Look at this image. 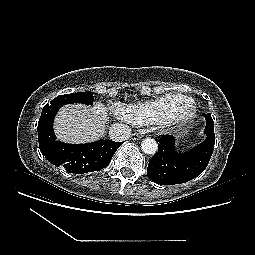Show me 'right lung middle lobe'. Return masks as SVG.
<instances>
[{"label": "right lung middle lobe", "mask_w": 255, "mask_h": 255, "mask_svg": "<svg viewBox=\"0 0 255 255\" xmlns=\"http://www.w3.org/2000/svg\"><path fill=\"white\" fill-rule=\"evenodd\" d=\"M81 103L90 105L93 103V92H79L66 95H59L50 104L44 106L39 119L38 128L47 129L53 124L55 114L60 107L66 104Z\"/></svg>", "instance_id": "obj_1"}]
</instances>
